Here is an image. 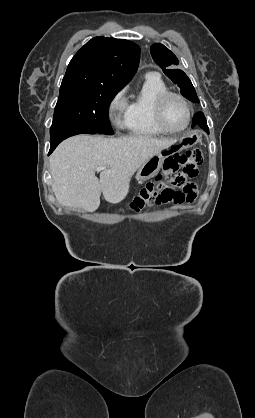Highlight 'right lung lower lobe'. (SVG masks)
Returning <instances> with one entry per match:
<instances>
[{"mask_svg": "<svg viewBox=\"0 0 255 418\" xmlns=\"http://www.w3.org/2000/svg\"><path fill=\"white\" fill-rule=\"evenodd\" d=\"M77 134H97V132L83 130V129H72V130L56 132L55 134L51 135V140H50L51 146H50L49 154L53 152V150L57 147V145L61 141H63L64 139L70 136L77 135Z\"/></svg>", "mask_w": 255, "mask_h": 418, "instance_id": "right-lung-lower-lobe-1", "label": "right lung lower lobe"}]
</instances>
